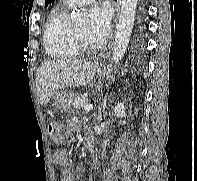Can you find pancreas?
<instances>
[{
	"label": "pancreas",
	"mask_w": 197,
	"mask_h": 181,
	"mask_svg": "<svg viewBox=\"0 0 197 181\" xmlns=\"http://www.w3.org/2000/svg\"><path fill=\"white\" fill-rule=\"evenodd\" d=\"M88 95L87 94H83V95H79L77 97L74 98L73 101V107L75 110H81L84 108L85 105L89 104V100H88Z\"/></svg>",
	"instance_id": "obj_1"
}]
</instances>
